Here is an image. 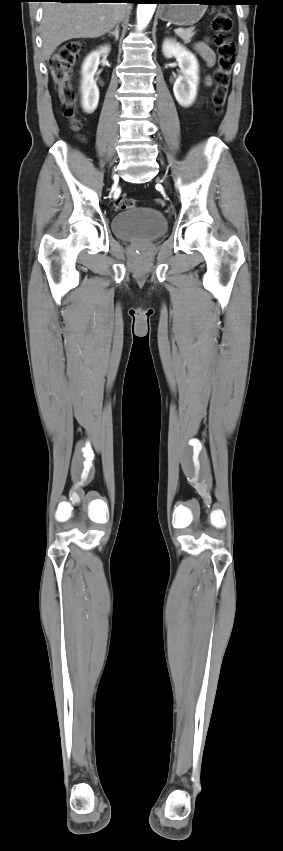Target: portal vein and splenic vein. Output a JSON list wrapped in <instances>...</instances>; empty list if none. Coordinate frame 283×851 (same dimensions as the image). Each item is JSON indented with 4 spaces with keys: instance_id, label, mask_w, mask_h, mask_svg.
<instances>
[{
    "instance_id": "1",
    "label": "portal vein and splenic vein",
    "mask_w": 283,
    "mask_h": 851,
    "mask_svg": "<svg viewBox=\"0 0 283 851\" xmlns=\"http://www.w3.org/2000/svg\"><path fill=\"white\" fill-rule=\"evenodd\" d=\"M181 30H183V29H182V28H177V29H175L174 31H175V32H179V31H181Z\"/></svg>"
}]
</instances>
